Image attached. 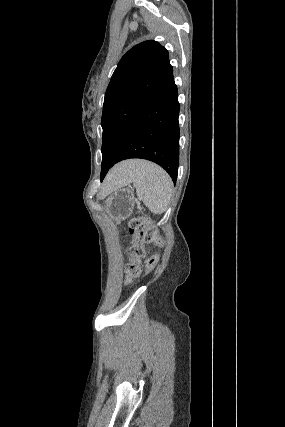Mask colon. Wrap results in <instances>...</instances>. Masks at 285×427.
Instances as JSON below:
<instances>
[{
  "label": "colon",
  "mask_w": 285,
  "mask_h": 427,
  "mask_svg": "<svg viewBox=\"0 0 285 427\" xmlns=\"http://www.w3.org/2000/svg\"><path fill=\"white\" fill-rule=\"evenodd\" d=\"M129 232L135 235L134 245L130 248V253L135 258H140L144 254L143 245H154L163 247L164 242L158 235L157 230L151 226L145 217L133 218L129 223ZM159 261L158 255H153L146 260V270H152ZM127 281H131L139 273V265L136 259L132 260L126 267Z\"/></svg>",
  "instance_id": "1"
}]
</instances>
